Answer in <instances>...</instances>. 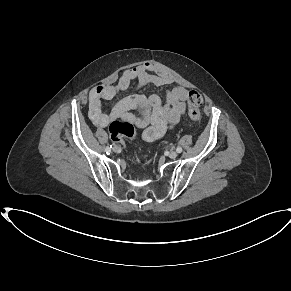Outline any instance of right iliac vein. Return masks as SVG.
Masks as SVG:
<instances>
[{
  "label": "right iliac vein",
  "instance_id": "right-iliac-vein-1",
  "mask_svg": "<svg viewBox=\"0 0 291 291\" xmlns=\"http://www.w3.org/2000/svg\"><path fill=\"white\" fill-rule=\"evenodd\" d=\"M112 149L116 153L120 151V148L117 145H114Z\"/></svg>",
  "mask_w": 291,
  "mask_h": 291
}]
</instances>
